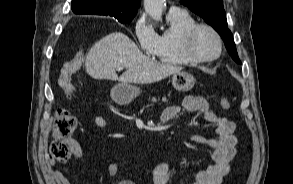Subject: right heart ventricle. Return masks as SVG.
<instances>
[{
  "label": "right heart ventricle",
  "mask_w": 293,
  "mask_h": 184,
  "mask_svg": "<svg viewBox=\"0 0 293 184\" xmlns=\"http://www.w3.org/2000/svg\"><path fill=\"white\" fill-rule=\"evenodd\" d=\"M168 28L158 35L153 56L167 64L185 65L192 63L181 52L180 41L184 31L196 22L187 12L168 13Z\"/></svg>",
  "instance_id": "1"
}]
</instances>
